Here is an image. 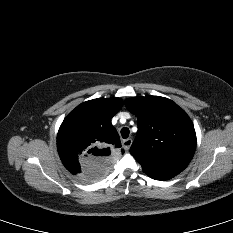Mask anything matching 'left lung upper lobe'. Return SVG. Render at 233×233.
<instances>
[{
  "label": "left lung upper lobe",
  "mask_w": 233,
  "mask_h": 233,
  "mask_svg": "<svg viewBox=\"0 0 233 233\" xmlns=\"http://www.w3.org/2000/svg\"><path fill=\"white\" fill-rule=\"evenodd\" d=\"M137 117L138 131L130 153L148 176L173 175L190 163L196 133L189 116L172 100L160 96L124 101Z\"/></svg>",
  "instance_id": "obj_1"
}]
</instances>
